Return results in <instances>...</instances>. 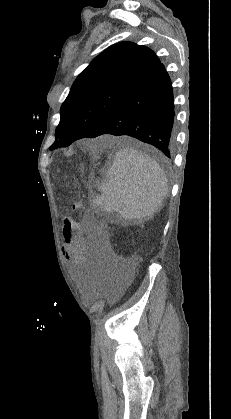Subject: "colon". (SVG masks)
Here are the masks:
<instances>
[{
    "instance_id": "1",
    "label": "colon",
    "mask_w": 231,
    "mask_h": 419,
    "mask_svg": "<svg viewBox=\"0 0 231 419\" xmlns=\"http://www.w3.org/2000/svg\"><path fill=\"white\" fill-rule=\"evenodd\" d=\"M73 208L75 210H82V204L80 202L75 201L73 202Z\"/></svg>"
}]
</instances>
